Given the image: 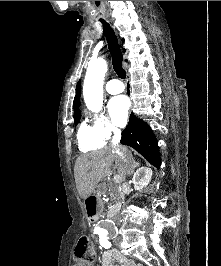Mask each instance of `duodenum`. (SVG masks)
I'll return each mask as SVG.
<instances>
[{
	"mask_svg": "<svg viewBox=\"0 0 221 266\" xmlns=\"http://www.w3.org/2000/svg\"><path fill=\"white\" fill-rule=\"evenodd\" d=\"M102 195V191H98V189H91L90 194L86 198V219H88V223H99V219H101L100 213H103ZM107 216L109 218L113 217L114 211H107Z\"/></svg>",
	"mask_w": 221,
	"mask_h": 266,
	"instance_id": "duodenum-1",
	"label": "duodenum"
}]
</instances>
